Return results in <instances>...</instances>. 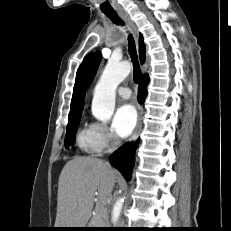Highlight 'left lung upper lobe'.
I'll use <instances>...</instances> for the list:
<instances>
[{"label": "left lung upper lobe", "mask_w": 231, "mask_h": 231, "mask_svg": "<svg viewBox=\"0 0 231 231\" xmlns=\"http://www.w3.org/2000/svg\"><path fill=\"white\" fill-rule=\"evenodd\" d=\"M100 60H101V54L100 52H96L94 54V57L92 59V63L90 66V71H89V77H88V83L90 84L96 74V71L98 69V66L100 64Z\"/></svg>", "instance_id": "obj_1"}]
</instances>
